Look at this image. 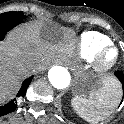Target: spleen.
I'll use <instances>...</instances> for the list:
<instances>
[{"label": "spleen", "instance_id": "3e777b00", "mask_svg": "<svg viewBox=\"0 0 124 124\" xmlns=\"http://www.w3.org/2000/svg\"><path fill=\"white\" fill-rule=\"evenodd\" d=\"M114 87L108 84L94 96L89 98L74 97L72 107L77 114L88 122L97 123L110 115V110L118 102L120 91L118 85L112 80Z\"/></svg>", "mask_w": 124, "mask_h": 124}]
</instances>
